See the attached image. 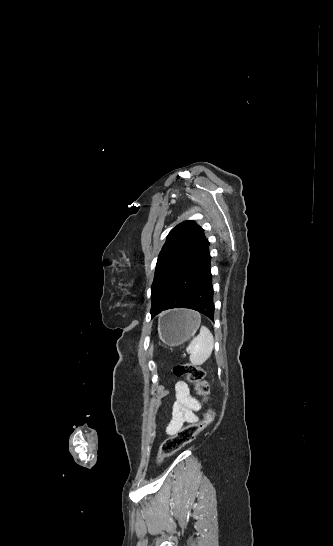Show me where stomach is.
<instances>
[{
    "instance_id": "0dacf381",
    "label": "stomach",
    "mask_w": 333,
    "mask_h": 546,
    "mask_svg": "<svg viewBox=\"0 0 333 546\" xmlns=\"http://www.w3.org/2000/svg\"><path fill=\"white\" fill-rule=\"evenodd\" d=\"M201 318L191 310L174 309L159 318L158 334L168 346H178L189 340L198 330Z\"/></svg>"
}]
</instances>
